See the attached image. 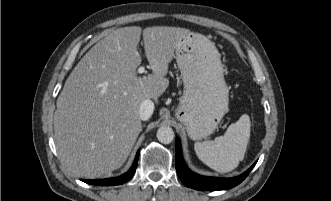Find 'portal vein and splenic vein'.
<instances>
[{
    "label": "portal vein and splenic vein",
    "mask_w": 331,
    "mask_h": 201,
    "mask_svg": "<svg viewBox=\"0 0 331 201\" xmlns=\"http://www.w3.org/2000/svg\"><path fill=\"white\" fill-rule=\"evenodd\" d=\"M145 72V68L144 67H140L139 69H138V73H144Z\"/></svg>",
    "instance_id": "1"
}]
</instances>
